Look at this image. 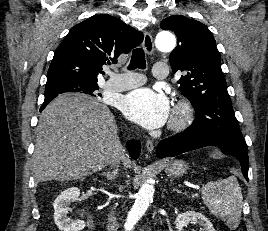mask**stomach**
Returning a JSON list of instances; mask_svg holds the SVG:
<instances>
[{
	"instance_id": "1",
	"label": "stomach",
	"mask_w": 268,
	"mask_h": 231,
	"mask_svg": "<svg viewBox=\"0 0 268 231\" xmlns=\"http://www.w3.org/2000/svg\"><path fill=\"white\" fill-rule=\"evenodd\" d=\"M188 165L182 160H175L167 165L166 173L170 177L182 176L186 173Z\"/></svg>"
}]
</instances>
